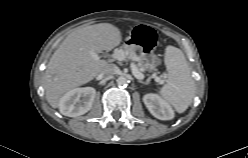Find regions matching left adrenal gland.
Listing matches in <instances>:
<instances>
[{"instance_id":"left-adrenal-gland-1","label":"left adrenal gland","mask_w":248,"mask_h":158,"mask_svg":"<svg viewBox=\"0 0 248 158\" xmlns=\"http://www.w3.org/2000/svg\"><path fill=\"white\" fill-rule=\"evenodd\" d=\"M138 82H139V83H142V84H146L145 82H143V81H141V80H139Z\"/></svg>"}]
</instances>
